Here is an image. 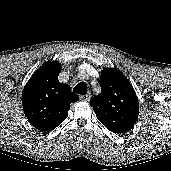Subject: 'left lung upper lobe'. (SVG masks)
Instances as JSON below:
<instances>
[{
    "label": "left lung upper lobe",
    "instance_id": "left-lung-upper-lobe-1",
    "mask_svg": "<svg viewBox=\"0 0 171 171\" xmlns=\"http://www.w3.org/2000/svg\"><path fill=\"white\" fill-rule=\"evenodd\" d=\"M100 85L101 93L90 101L98 120L113 133L131 130L138 119L139 103L128 79L119 70L106 68Z\"/></svg>",
    "mask_w": 171,
    "mask_h": 171
}]
</instances>
